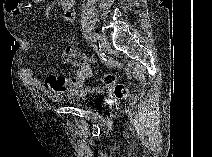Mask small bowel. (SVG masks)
Returning a JSON list of instances; mask_svg holds the SVG:
<instances>
[{"label": "small bowel", "mask_w": 212, "mask_h": 157, "mask_svg": "<svg viewBox=\"0 0 212 157\" xmlns=\"http://www.w3.org/2000/svg\"><path fill=\"white\" fill-rule=\"evenodd\" d=\"M61 7L63 10L64 21L70 23L75 16V1L62 0ZM5 8L12 17H18L22 12L23 5L20 0H7L5 2ZM31 45V42L26 41L23 46L24 50H30ZM22 75L28 84L43 89L51 97H59L64 93L79 89L84 83L74 79V77L54 74L49 75L44 81H41L34 68H24L22 70ZM89 76L90 71L88 70V77Z\"/></svg>", "instance_id": "c3829d8e"}]
</instances>
